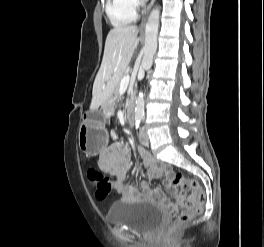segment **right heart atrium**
Here are the masks:
<instances>
[{
	"label": "right heart atrium",
	"instance_id": "d8ad5b80",
	"mask_svg": "<svg viewBox=\"0 0 264 247\" xmlns=\"http://www.w3.org/2000/svg\"><path fill=\"white\" fill-rule=\"evenodd\" d=\"M125 3L133 11H136L141 5L140 0H125Z\"/></svg>",
	"mask_w": 264,
	"mask_h": 247
}]
</instances>
